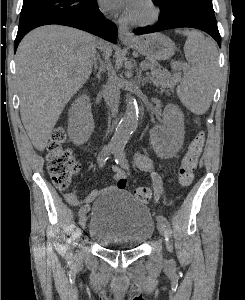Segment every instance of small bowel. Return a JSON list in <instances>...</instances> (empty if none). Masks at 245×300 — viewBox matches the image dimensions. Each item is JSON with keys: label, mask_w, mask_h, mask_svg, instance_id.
Here are the masks:
<instances>
[{"label": "small bowel", "mask_w": 245, "mask_h": 300, "mask_svg": "<svg viewBox=\"0 0 245 300\" xmlns=\"http://www.w3.org/2000/svg\"><path fill=\"white\" fill-rule=\"evenodd\" d=\"M135 163L141 170L149 173H155V168L153 166L152 160L141 154L137 153L134 157ZM114 172V180L116 182L115 186L102 189V190H92L87 196L86 201L92 202L96 198H98L105 190H111V189H125L127 186V175L126 173L121 170L118 167H113ZM66 201L72 205V206H78L79 205V199H78V191H72L65 195Z\"/></svg>", "instance_id": "obj_1"}]
</instances>
